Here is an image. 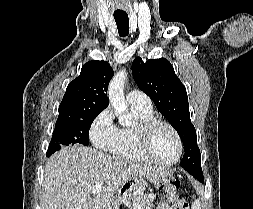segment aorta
<instances>
[{"label":"aorta","instance_id":"obj_1","mask_svg":"<svg viewBox=\"0 0 253 209\" xmlns=\"http://www.w3.org/2000/svg\"><path fill=\"white\" fill-rule=\"evenodd\" d=\"M127 73L125 69L118 71L112 78L108 87V98L115 113L118 115V120L121 125H128L131 123L129 115H123L127 112V105L124 96V85Z\"/></svg>","mask_w":253,"mask_h":209}]
</instances>
